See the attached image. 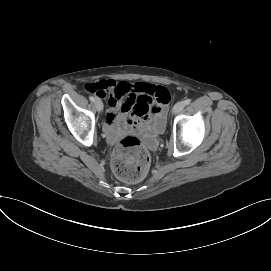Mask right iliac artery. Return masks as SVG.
Here are the masks:
<instances>
[{"label":"right iliac artery","mask_w":271,"mask_h":271,"mask_svg":"<svg viewBox=\"0 0 271 271\" xmlns=\"http://www.w3.org/2000/svg\"><path fill=\"white\" fill-rule=\"evenodd\" d=\"M90 101L94 102L95 101V98L93 96H90L89 97Z\"/></svg>","instance_id":"right-iliac-artery-1"}]
</instances>
